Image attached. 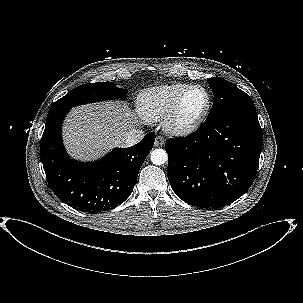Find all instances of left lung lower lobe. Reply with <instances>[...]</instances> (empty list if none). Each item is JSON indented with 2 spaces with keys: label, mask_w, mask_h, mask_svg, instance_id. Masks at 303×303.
I'll use <instances>...</instances> for the list:
<instances>
[{
  "label": "left lung lower lobe",
  "mask_w": 303,
  "mask_h": 303,
  "mask_svg": "<svg viewBox=\"0 0 303 303\" xmlns=\"http://www.w3.org/2000/svg\"><path fill=\"white\" fill-rule=\"evenodd\" d=\"M165 149L175 194L193 206L218 208L241 197L255 180L262 129L256 110L228 114L167 140Z\"/></svg>",
  "instance_id": "left-lung-lower-lobe-1"
}]
</instances>
